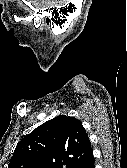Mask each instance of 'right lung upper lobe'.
Masks as SVG:
<instances>
[{"mask_svg":"<svg viewBox=\"0 0 127 168\" xmlns=\"http://www.w3.org/2000/svg\"><path fill=\"white\" fill-rule=\"evenodd\" d=\"M90 157L91 144L81 122L60 115L18 143L8 168H74Z\"/></svg>","mask_w":127,"mask_h":168,"instance_id":"cb5924a9","label":"right lung upper lobe"}]
</instances>
